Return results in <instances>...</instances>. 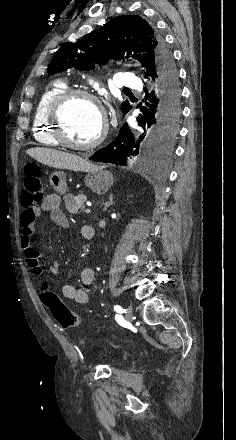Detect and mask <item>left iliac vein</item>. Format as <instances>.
Segmentation results:
<instances>
[{
	"label": "left iliac vein",
	"mask_w": 236,
	"mask_h": 440,
	"mask_svg": "<svg viewBox=\"0 0 236 440\" xmlns=\"http://www.w3.org/2000/svg\"><path fill=\"white\" fill-rule=\"evenodd\" d=\"M125 317L127 321L132 322L133 321V311L130 306L126 307Z\"/></svg>",
	"instance_id": "left-iliac-vein-1"
}]
</instances>
